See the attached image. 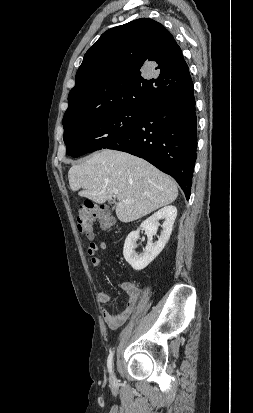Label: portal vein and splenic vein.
<instances>
[{
    "label": "portal vein and splenic vein",
    "instance_id": "obj_1",
    "mask_svg": "<svg viewBox=\"0 0 253 413\" xmlns=\"http://www.w3.org/2000/svg\"><path fill=\"white\" fill-rule=\"evenodd\" d=\"M113 192H114V194H117L118 193V189H114L113 190ZM124 202H126V203H131V201L130 200H124Z\"/></svg>",
    "mask_w": 253,
    "mask_h": 413
}]
</instances>
